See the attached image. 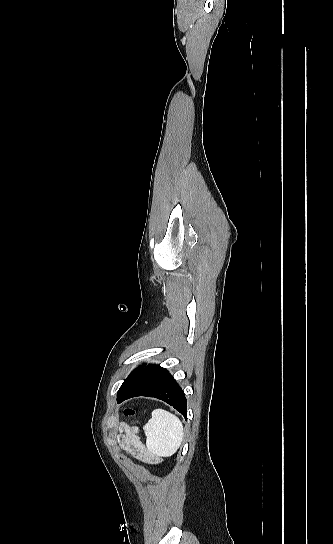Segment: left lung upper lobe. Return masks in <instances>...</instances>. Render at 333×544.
<instances>
[{
    "label": "left lung upper lobe",
    "mask_w": 333,
    "mask_h": 544,
    "mask_svg": "<svg viewBox=\"0 0 333 544\" xmlns=\"http://www.w3.org/2000/svg\"><path fill=\"white\" fill-rule=\"evenodd\" d=\"M145 366V364H143L142 366H139L137 367L135 370H133L131 372V374L128 376V378L123 382V384L121 385L120 390H122L138 373L139 371Z\"/></svg>",
    "instance_id": "left-lung-upper-lobe-1"
}]
</instances>
